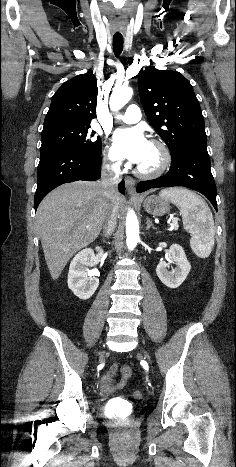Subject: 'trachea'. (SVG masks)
I'll list each match as a JSON object with an SVG mask.
<instances>
[{
    "mask_svg": "<svg viewBox=\"0 0 236 467\" xmlns=\"http://www.w3.org/2000/svg\"><path fill=\"white\" fill-rule=\"evenodd\" d=\"M123 50V38L113 37V51L116 56H119Z\"/></svg>",
    "mask_w": 236,
    "mask_h": 467,
    "instance_id": "3493384b",
    "label": "trachea"
}]
</instances>
